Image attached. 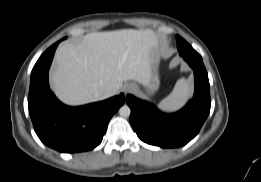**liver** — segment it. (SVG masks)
Segmentation results:
<instances>
[{"mask_svg":"<svg viewBox=\"0 0 261 182\" xmlns=\"http://www.w3.org/2000/svg\"><path fill=\"white\" fill-rule=\"evenodd\" d=\"M154 48L158 41L150 29L92 32L78 45L63 43L55 54L53 89L66 104L80 105L104 99L106 90L117 94L128 80L146 86Z\"/></svg>","mask_w":261,"mask_h":182,"instance_id":"1","label":"liver"}]
</instances>
